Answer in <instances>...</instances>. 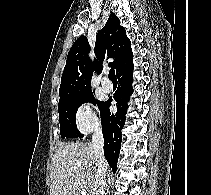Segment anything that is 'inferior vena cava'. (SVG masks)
<instances>
[{"label": "inferior vena cava", "instance_id": "inferior-vena-cava-1", "mask_svg": "<svg viewBox=\"0 0 211 195\" xmlns=\"http://www.w3.org/2000/svg\"><path fill=\"white\" fill-rule=\"evenodd\" d=\"M92 146L96 162V174L93 186V195H105L104 187L107 174V162L104 157V138L100 127H97L92 136Z\"/></svg>", "mask_w": 211, "mask_h": 195}]
</instances>
